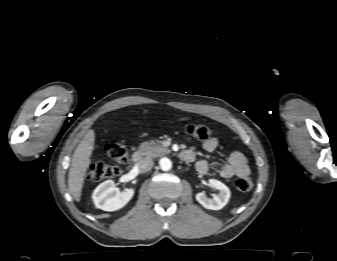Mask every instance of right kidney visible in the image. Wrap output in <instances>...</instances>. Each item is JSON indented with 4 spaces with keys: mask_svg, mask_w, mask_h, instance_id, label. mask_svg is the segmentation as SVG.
I'll use <instances>...</instances> for the list:
<instances>
[{
    "mask_svg": "<svg viewBox=\"0 0 337 261\" xmlns=\"http://www.w3.org/2000/svg\"><path fill=\"white\" fill-rule=\"evenodd\" d=\"M134 190L120 192L113 180L101 183L93 192L92 199L97 208L104 211H115L125 206L133 197Z\"/></svg>",
    "mask_w": 337,
    "mask_h": 261,
    "instance_id": "right-kidney-1",
    "label": "right kidney"
}]
</instances>
